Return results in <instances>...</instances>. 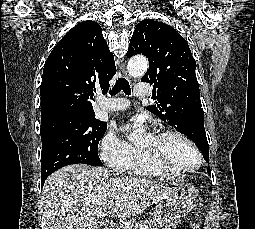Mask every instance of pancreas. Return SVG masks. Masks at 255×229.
I'll return each mask as SVG.
<instances>
[{"label":"pancreas","instance_id":"cf45deb5","mask_svg":"<svg viewBox=\"0 0 255 229\" xmlns=\"http://www.w3.org/2000/svg\"><path fill=\"white\" fill-rule=\"evenodd\" d=\"M158 229L155 222L151 220H144L140 222H135L134 224L127 225L124 227V229Z\"/></svg>","mask_w":255,"mask_h":229}]
</instances>
